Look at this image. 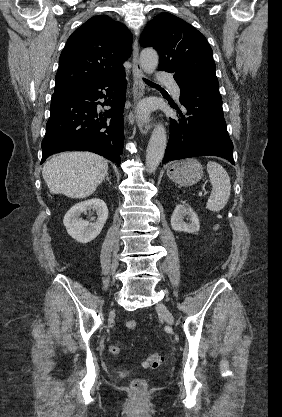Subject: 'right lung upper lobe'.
<instances>
[{
  "instance_id": "cb5924a9",
  "label": "right lung upper lobe",
  "mask_w": 282,
  "mask_h": 417,
  "mask_svg": "<svg viewBox=\"0 0 282 417\" xmlns=\"http://www.w3.org/2000/svg\"><path fill=\"white\" fill-rule=\"evenodd\" d=\"M132 34L107 15L90 18L69 37L59 58L54 93L124 73Z\"/></svg>"
}]
</instances>
